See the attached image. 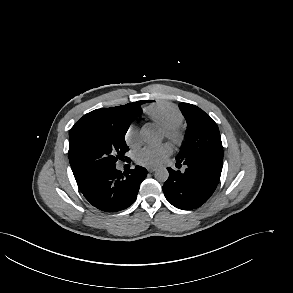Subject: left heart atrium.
Returning <instances> with one entry per match:
<instances>
[{
  "instance_id": "39dd6f15",
  "label": "left heart atrium",
  "mask_w": 293,
  "mask_h": 293,
  "mask_svg": "<svg viewBox=\"0 0 293 293\" xmlns=\"http://www.w3.org/2000/svg\"><path fill=\"white\" fill-rule=\"evenodd\" d=\"M172 152L170 145L145 146L136 153V161L144 166H157L161 164Z\"/></svg>"
}]
</instances>
